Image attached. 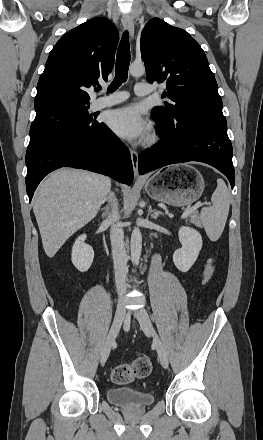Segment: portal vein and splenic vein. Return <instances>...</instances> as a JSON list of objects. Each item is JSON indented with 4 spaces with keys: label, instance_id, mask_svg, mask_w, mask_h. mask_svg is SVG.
<instances>
[{
    "label": "portal vein and splenic vein",
    "instance_id": "1",
    "mask_svg": "<svg viewBox=\"0 0 263 440\" xmlns=\"http://www.w3.org/2000/svg\"><path fill=\"white\" fill-rule=\"evenodd\" d=\"M209 205V203H202V202H197L195 205L187 208L183 214H182V218H186L187 216H189L193 211L197 210L199 207L203 206V205Z\"/></svg>",
    "mask_w": 263,
    "mask_h": 440
}]
</instances>
